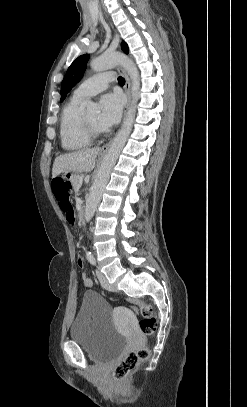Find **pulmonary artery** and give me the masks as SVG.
Returning a JSON list of instances; mask_svg holds the SVG:
<instances>
[{
	"label": "pulmonary artery",
	"mask_w": 247,
	"mask_h": 407,
	"mask_svg": "<svg viewBox=\"0 0 247 407\" xmlns=\"http://www.w3.org/2000/svg\"><path fill=\"white\" fill-rule=\"evenodd\" d=\"M115 81L113 72L100 73L85 80L74 91V96L80 99H88L103 90H105L109 83Z\"/></svg>",
	"instance_id": "obj_1"
}]
</instances>
